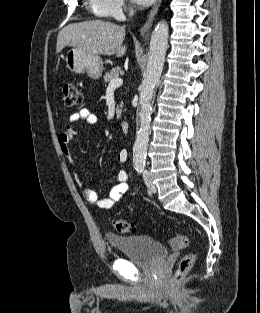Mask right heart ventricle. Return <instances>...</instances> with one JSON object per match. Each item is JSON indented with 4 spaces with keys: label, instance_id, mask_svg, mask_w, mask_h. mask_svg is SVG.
<instances>
[{
    "label": "right heart ventricle",
    "instance_id": "right-heart-ventricle-1",
    "mask_svg": "<svg viewBox=\"0 0 260 313\" xmlns=\"http://www.w3.org/2000/svg\"><path fill=\"white\" fill-rule=\"evenodd\" d=\"M88 5L90 6V8L99 15L98 13V8H99V0H87Z\"/></svg>",
    "mask_w": 260,
    "mask_h": 313
}]
</instances>
